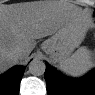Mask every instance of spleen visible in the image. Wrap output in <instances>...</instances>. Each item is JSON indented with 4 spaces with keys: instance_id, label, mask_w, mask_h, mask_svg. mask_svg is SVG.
<instances>
[{
    "instance_id": "spleen-1",
    "label": "spleen",
    "mask_w": 95,
    "mask_h": 95,
    "mask_svg": "<svg viewBox=\"0 0 95 95\" xmlns=\"http://www.w3.org/2000/svg\"><path fill=\"white\" fill-rule=\"evenodd\" d=\"M94 66L92 52L87 47H80L70 57L59 62V68L68 76L81 77Z\"/></svg>"
}]
</instances>
